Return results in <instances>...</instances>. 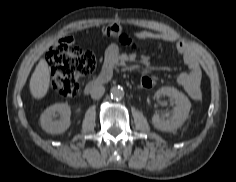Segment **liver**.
Returning <instances> with one entry per match:
<instances>
[{
	"label": "liver",
	"mask_w": 236,
	"mask_h": 182,
	"mask_svg": "<svg viewBox=\"0 0 236 182\" xmlns=\"http://www.w3.org/2000/svg\"><path fill=\"white\" fill-rule=\"evenodd\" d=\"M50 86V69L45 59H40L31 79L30 92L33 98L42 99L45 97Z\"/></svg>",
	"instance_id": "1"
}]
</instances>
